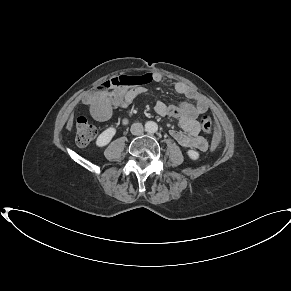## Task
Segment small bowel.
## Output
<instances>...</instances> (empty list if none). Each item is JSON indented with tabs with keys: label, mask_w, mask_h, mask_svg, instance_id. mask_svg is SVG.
I'll return each instance as SVG.
<instances>
[{
	"label": "small bowel",
	"mask_w": 291,
	"mask_h": 291,
	"mask_svg": "<svg viewBox=\"0 0 291 291\" xmlns=\"http://www.w3.org/2000/svg\"><path fill=\"white\" fill-rule=\"evenodd\" d=\"M141 82H163L160 73L145 74L140 78ZM173 89L176 93L185 96L189 102H181L177 105H168L162 101H156L155 112L160 116L174 117L179 121L183 131L171 130L170 135L183 147L206 151L208 143L200 135L197 116L208 110L207 102L201 98L191 87L184 82H174ZM147 93L144 86L138 85L130 88H118L98 97L95 93L84 96L83 102L90 107V112L95 120L103 121L111 116L112 109H126L134 100Z\"/></svg>",
	"instance_id": "small-bowel-1"
}]
</instances>
